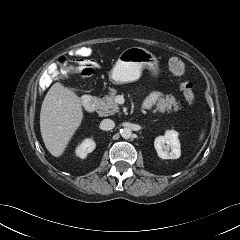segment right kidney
<instances>
[{"label":"right kidney","mask_w":240,"mask_h":240,"mask_svg":"<svg viewBox=\"0 0 240 240\" xmlns=\"http://www.w3.org/2000/svg\"><path fill=\"white\" fill-rule=\"evenodd\" d=\"M96 147L93 139H85L77 148L76 155L82 159H84L88 153H91Z\"/></svg>","instance_id":"ca27d5eb"}]
</instances>
